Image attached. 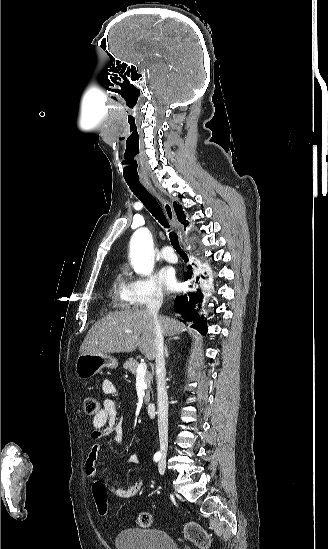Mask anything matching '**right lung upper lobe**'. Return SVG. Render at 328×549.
I'll return each mask as SVG.
<instances>
[{
  "mask_svg": "<svg viewBox=\"0 0 328 549\" xmlns=\"http://www.w3.org/2000/svg\"><path fill=\"white\" fill-rule=\"evenodd\" d=\"M173 206H174V210L176 212V215L178 217V220L181 221L185 225V228H186V226H188V222L186 221V217H185L184 212L182 211V208L176 202L173 203ZM185 228H184V230H185Z\"/></svg>",
  "mask_w": 328,
  "mask_h": 549,
  "instance_id": "obj_1",
  "label": "right lung upper lobe"
}]
</instances>
